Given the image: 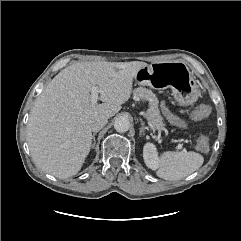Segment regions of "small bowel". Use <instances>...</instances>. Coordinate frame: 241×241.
I'll return each instance as SVG.
<instances>
[{
	"mask_svg": "<svg viewBox=\"0 0 241 241\" xmlns=\"http://www.w3.org/2000/svg\"><path fill=\"white\" fill-rule=\"evenodd\" d=\"M163 112L166 118L174 125H178L180 127H184L185 123L180 120L178 117L174 116L166 107L163 108Z\"/></svg>",
	"mask_w": 241,
	"mask_h": 241,
	"instance_id": "obj_1",
	"label": "small bowel"
}]
</instances>
